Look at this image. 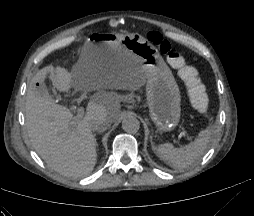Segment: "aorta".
<instances>
[{"label":"aorta","instance_id":"obj_1","mask_svg":"<svg viewBox=\"0 0 254 216\" xmlns=\"http://www.w3.org/2000/svg\"><path fill=\"white\" fill-rule=\"evenodd\" d=\"M122 128L125 132L133 134L140 129V122L135 116L128 115L122 121Z\"/></svg>","mask_w":254,"mask_h":216}]
</instances>
